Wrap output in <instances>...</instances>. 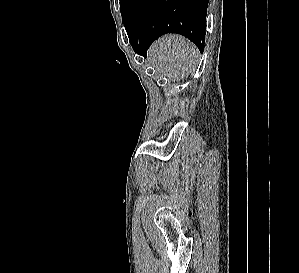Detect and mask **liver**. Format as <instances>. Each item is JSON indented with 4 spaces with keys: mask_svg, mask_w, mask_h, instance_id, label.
<instances>
[{
    "mask_svg": "<svg viewBox=\"0 0 299 273\" xmlns=\"http://www.w3.org/2000/svg\"><path fill=\"white\" fill-rule=\"evenodd\" d=\"M199 52L187 39L179 35H166L157 40L148 51V58L157 71L170 81L187 79L198 64Z\"/></svg>",
    "mask_w": 299,
    "mask_h": 273,
    "instance_id": "liver-1",
    "label": "liver"
}]
</instances>
